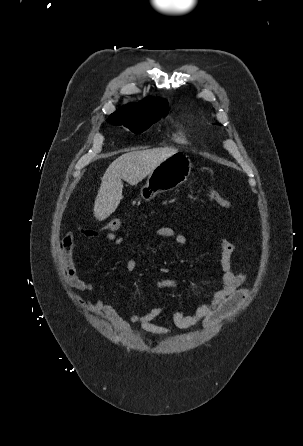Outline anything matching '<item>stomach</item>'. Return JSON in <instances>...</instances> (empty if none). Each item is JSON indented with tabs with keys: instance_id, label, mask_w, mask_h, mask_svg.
Here are the masks:
<instances>
[{
	"instance_id": "stomach-1",
	"label": "stomach",
	"mask_w": 303,
	"mask_h": 446,
	"mask_svg": "<svg viewBox=\"0 0 303 446\" xmlns=\"http://www.w3.org/2000/svg\"><path fill=\"white\" fill-rule=\"evenodd\" d=\"M192 163L189 157L176 153L160 163L149 175L140 189V196L145 201L152 200L157 194L173 190L186 182Z\"/></svg>"
}]
</instances>
